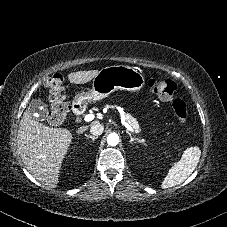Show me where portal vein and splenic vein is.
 <instances>
[{
    "mask_svg": "<svg viewBox=\"0 0 227 227\" xmlns=\"http://www.w3.org/2000/svg\"><path fill=\"white\" fill-rule=\"evenodd\" d=\"M94 119V115L93 114H87L85 117H84V120L86 122H89V121H92ZM125 127L131 131L132 133H136L137 131L134 130V128L132 126H130L128 123L125 124Z\"/></svg>",
    "mask_w": 227,
    "mask_h": 227,
    "instance_id": "1",
    "label": "portal vein and splenic vein"
}]
</instances>
